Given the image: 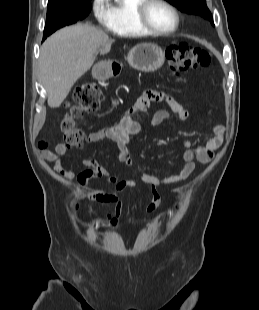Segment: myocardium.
<instances>
[{"mask_svg":"<svg viewBox=\"0 0 259 310\" xmlns=\"http://www.w3.org/2000/svg\"><path fill=\"white\" fill-rule=\"evenodd\" d=\"M153 3H160L167 7L171 12L174 14L175 17V26L170 30H159L155 28L148 20L147 12ZM136 19L138 24L149 34L156 35V36H167L175 33L181 23V18L179 11L177 8L171 4L167 0H142V2L136 8Z\"/></svg>","mask_w":259,"mask_h":310,"instance_id":"obj_1","label":"myocardium"}]
</instances>
